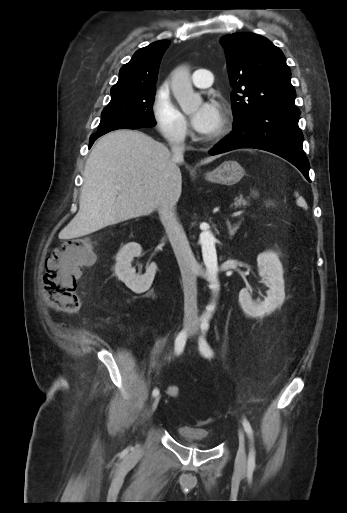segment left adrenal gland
<instances>
[{"mask_svg": "<svg viewBox=\"0 0 347 513\" xmlns=\"http://www.w3.org/2000/svg\"><path fill=\"white\" fill-rule=\"evenodd\" d=\"M241 222H242V219H240L236 224H234L232 226L231 222L229 220H226V225H227V228H228V233H229L230 239L233 238V236L235 235V233L239 229V227L241 225Z\"/></svg>", "mask_w": 347, "mask_h": 513, "instance_id": "left-adrenal-gland-1", "label": "left adrenal gland"}]
</instances>
